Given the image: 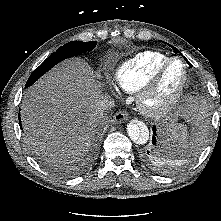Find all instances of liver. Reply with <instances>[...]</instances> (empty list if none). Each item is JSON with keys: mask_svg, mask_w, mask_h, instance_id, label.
I'll return each instance as SVG.
<instances>
[{"mask_svg": "<svg viewBox=\"0 0 221 221\" xmlns=\"http://www.w3.org/2000/svg\"><path fill=\"white\" fill-rule=\"evenodd\" d=\"M101 85L80 59L56 66L30 87L22 100L26 142L37 155L55 162L79 161L101 120Z\"/></svg>", "mask_w": 221, "mask_h": 221, "instance_id": "liver-1", "label": "liver"}]
</instances>
